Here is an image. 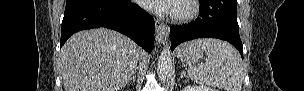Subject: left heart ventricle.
Masks as SVG:
<instances>
[{"label": "left heart ventricle", "instance_id": "left-heart-ventricle-1", "mask_svg": "<svg viewBox=\"0 0 304 91\" xmlns=\"http://www.w3.org/2000/svg\"><path fill=\"white\" fill-rule=\"evenodd\" d=\"M177 10H180V6L178 5V8H177Z\"/></svg>", "mask_w": 304, "mask_h": 91}]
</instances>
